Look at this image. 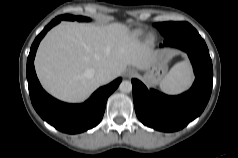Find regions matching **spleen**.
Masks as SVG:
<instances>
[{"instance_id":"obj_1","label":"spleen","mask_w":238,"mask_h":158,"mask_svg":"<svg viewBox=\"0 0 238 158\" xmlns=\"http://www.w3.org/2000/svg\"><path fill=\"white\" fill-rule=\"evenodd\" d=\"M193 81L192 70L188 62L175 64L168 74L161 80L160 89L170 95L186 90Z\"/></svg>"}]
</instances>
